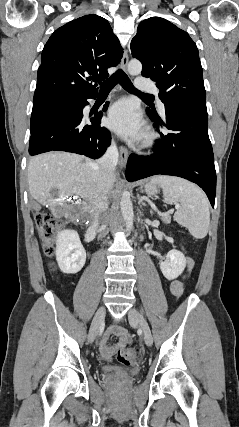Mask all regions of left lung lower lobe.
I'll return each instance as SVG.
<instances>
[{"label": "left lung lower lobe", "mask_w": 239, "mask_h": 427, "mask_svg": "<svg viewBox=\"0 0 239 427\" xmlns=\"http://www.w3.org/2000/svg\"><path fill=\"white\" fill-rule=\"evenodd\" d=\"M164 105L166 123L149 109L147 114L155 127L165 126L171 132H160L154 154L129 156L126 179L132 182L157 174L182 177L198 184L214 207L216 171L208 136V114L173 103Z\"/></svg>", "instance_id": "left-lung-lower-lobe-1"}]
</instances>
